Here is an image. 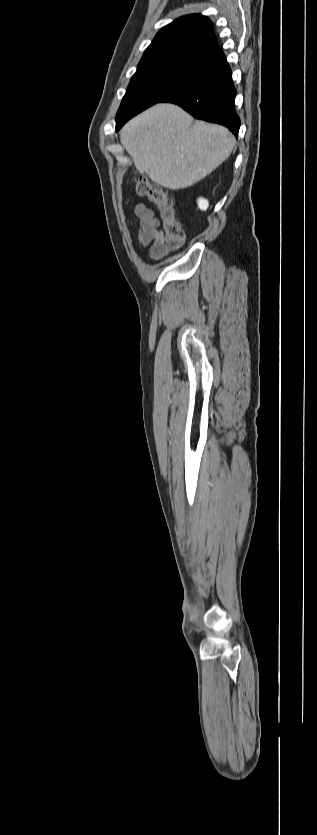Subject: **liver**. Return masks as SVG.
Here are the masks:
<instances>
[{
    "label": "liver",
    "mask_w": 317,
    "mask_h": 835,
    "mask_svg": "<svg viewBox=\"0 0 317 835\" xmlns=\"http://www.w3.org/2000/svg\"><path fill=\"white\" fill-rule=\"evenodd\" d=\"M120 141L140 173L170 189L186 188L210 174L236 143L227 128L194 121L170 103L156 104L127 122Z\"/></svg>",
    "instance_id": "liver-1"
}]
</instances>
